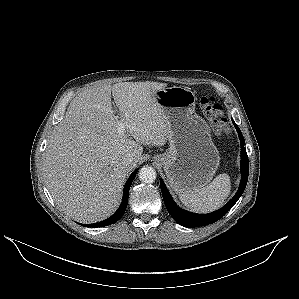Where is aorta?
I'll return each instance as SVG.
<instances>
[{
  "instance_id": "1",
  "label": "aorta",
  "mask_w": 299,
  "mask_h": 299,
  "mask_svg": "<svg viewBox=\"0 0 299 299\" xmlns=\"http://www.w3.org/2000/svg\"><path fill=\"white\" fill-rule=\"evenodd\" d=\"M139 178L144 183H153L156 179V171L151 166H144L139 171Z\"/></svg>"
}]
</instances>
